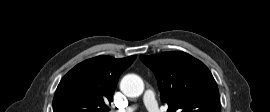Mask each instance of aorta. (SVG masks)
<instances>
[{
  "instance_id": "762f6f07",
  "label": "aorta",
  "mask_w": 270,
  "mask_h": 112,
  "mask_svg": "<svg viewBox=\"0 0 270 112\" xmlns=\"http://www.w3.org/2000/svg\"><path fill=\"white\" fill-rule=\"evenodd\" d=\"M120 89L128 97H139L144 91V82L138 75L128 74L122 78Z\"/></svg>"
}]
</instances>
